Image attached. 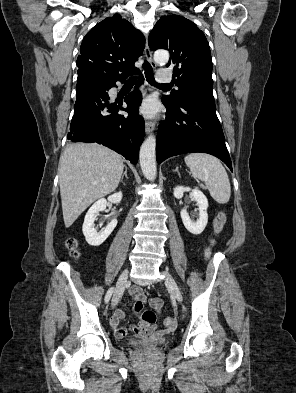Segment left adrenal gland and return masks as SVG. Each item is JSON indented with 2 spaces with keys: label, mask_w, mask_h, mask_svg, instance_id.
Here are the masks:
<instances>
[{
  "label": "left adrenal gland",
  "mask_w": 296,
  "mask_h": 393,
  "mask_svg": "<svg viewBox=\"0 0 296 393\" xmlns=\"http://www.w3.org/2000/svg\"><path fill=\"white\" fill-rule=\"evenodd\" d=\"M174 172H177L178 173V175L180 176V172H179V170H178V167H176V169L175 170H173Z\"/></svg>",
  "instance_id": "obj_1"
}]
</instances>
